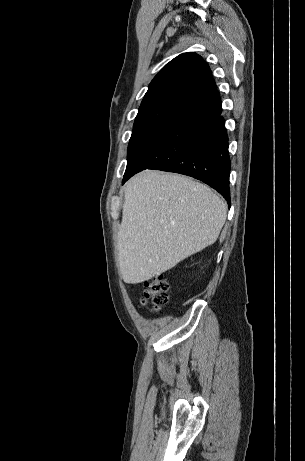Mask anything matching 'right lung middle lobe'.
<instances>
[{
  "label": "right lung middle lobe",
  "mask_w": 305,
  "mask_h": 461,
  "mask_svg": "<svg viewBox=\"0 0 305 461\" xmlns=\"http://www.w3.org/2000/svg\"><path fill=\"white\" fill-rule=\"evenodd\" d=\"M187 109L188 107L181 105L139 109L128 145L127 168L133 167L159 143Z\"/></svg>",
  "instance_id": "right-lung-middle-lobe-1"
}]
</instances>
